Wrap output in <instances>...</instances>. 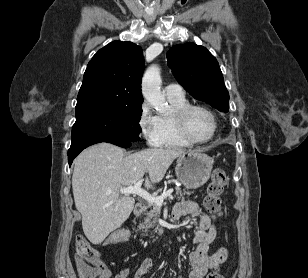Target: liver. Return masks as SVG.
<instances>
[{
	"instance_id": "6515ba94",
	"label": "liver",
	"mask_w": 308,
	"mask_h": 278,
	"mask_svg": "<svg viewBox=\"0 0 308 278\" xmlns=\"http://www.w3.org/2000/svg\"><path fill=\"white\" fill-rule=\"evenodd\" d=\"M185 153L179 148H148L125 154L105 142L82 151L74 161L72 189L88 240L100 244L131 214L135 200L122 196L121 187L133 186L148 173L145 187L154 189L173 161Z\"/></svg>"
}]
</instances>
